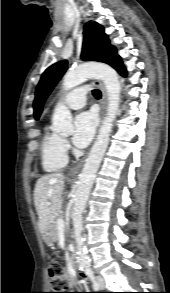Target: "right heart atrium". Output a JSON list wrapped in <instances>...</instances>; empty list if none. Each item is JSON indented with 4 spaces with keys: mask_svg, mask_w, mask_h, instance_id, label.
Returning a JSON list of instances; mask_svg holds the SVG:
<instances>
[{
    "mask_svg": "<svg viewBox=\"0 0 170 293\" xmlns=\"http://www.w3.org/2000/svg\"><path fill=\"white\" fill-rule=\"evenodd\" d=\"M62 148L67 151L68 150V143L65 139H61Z\"/></svg>",
    "mask_w": 170,
    "mask_h": 293,
    "instance_id": "right-heart-atrium-1",
    "label": "right heart atrium"
}]
</instances>
